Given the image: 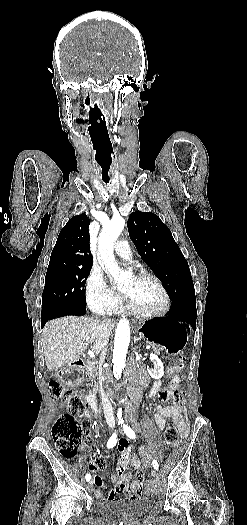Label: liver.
Here are the masks:
<instances>
[{
	"instance_id": "obj_1",
	"label": "liver",
	"mask_w": 247,
	"mask_h": 525,
	"mask_svg": "<svg viewBox=\"0 0 247 525\" xmlns=\"http://www.w3.org/2000/svg\"><path fill=\"white\" fill-rule=\"evenodd\" d=\"M115 323L91 317H61L46 323L42 345L48 371L79 361L86 349L99 355L101 343H108Z\"/></svg>"
}]
</instances>
